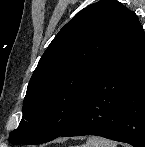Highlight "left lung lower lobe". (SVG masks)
<instances>
[{"instance_id":"left-lung-lower-lobe-1","label":"left lung lower lobe","mask_w":145,"mask_h":147,"mask_svg":"<svg viewBox=\"0 0 145 147\" xmlns=\"http://www.w3.org/2000/svg\"><path fill=\"white\" fill-rule=\"evenodd\" d=\"M81 135L145 147V34L130 10L78 117L60 136Z\"/></svg>"}]
</instances>
